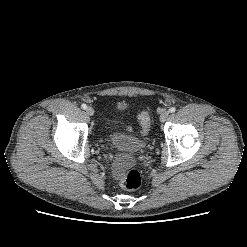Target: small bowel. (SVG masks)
<instances>
[{"instance_id":"c3829d8e","label":"small bowel","mask_w":247,"mask_h":247,"mask_svg":"<svg viewBox=\"0 0 247 247\" xmlns=\"http://www.w3.org/2000/svg\"><path fill=\"white\" fill-rule=\"evenodd\" d=\"M125 161L124 160H119L115 163L113 167V172L116 178H120L122 176V173L125 168Z\"/></svg>"}]
</instances>
